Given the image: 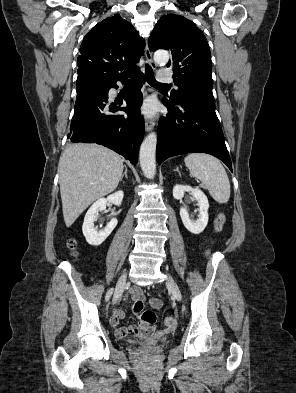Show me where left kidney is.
<instances>
[{
    "label": "left kidney",
    "mask_w": 296,
    "mask_h": 393,
    "mask_svg": "<svg viewBox=\"0 0 296 393\" xmlns=\"http://www.w3.org/2000/svg\"><path fill=\"white\" fill-rule=\"evenodd\" d=\"M185 192H190L194 199L198 202L199 218L196 221L191 220L187 209L181 207L180 216L182 222L188 231L193 234H200L208 224V199L199 188H192L186 185H175L173 188V197L176 200H181L184 197Z\"/></svg>",
    "instance_id": "obj_1"
}]
</instances>
